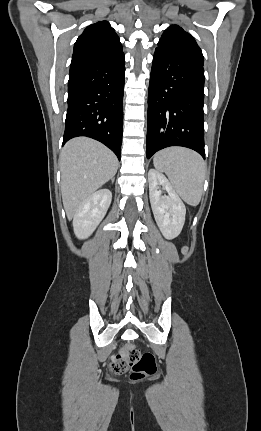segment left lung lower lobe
<instances>
[{
  "mask_svg": "<svg viewBox=\"0 0 261 431\" xmlns=\"http://www.w3.org/2000/svg\"><path fill=\"white\" fill-rule=\"evenodd\" d=\"M203 65L156 48L148 93L147 158L170 146L204 151Z\"/></svg>",
  "mask_w": 261,
  "mask_h": 431,
  "instance_id": "0a47b994",
  "label": "left lung lower lobe"
}]
</instances>
